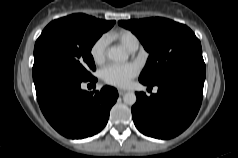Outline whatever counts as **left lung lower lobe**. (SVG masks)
I'll list each match as a JSON object with an SVG mask.
<instances>
[{
  "label": "left lung lower lobe",
  "mask_w": 238,
  "mask_h": 158,
  "mask_svg": "<svg viewBox=\"0 0 238 158\" xmlns=\"http://www.w3.org/2000/svg\"><path fill=\"white\" fill-rule=\"evenodd\" d=\"M205 74L203 66L188 67L160 79L155 84L158 92L150 97L137 92V102L132 107L137 129L157 139H169L182 133L201 106Z\"/></svg>",
  "instance_id": "1"
}]
</instances>
